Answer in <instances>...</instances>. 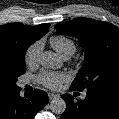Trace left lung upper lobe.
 <instances>
[{
  "label": "left lung upper lobe",
  "instance_id": "1",
  "mask_svg": "<svg viewBox=\"0 0 119 119\" xmlns=\"http://www.w3.org/2000/svg\"><path fill=\"white\" fill-rule=\"evenodd\" d=\"M55 29L57 34L78 38L84 46L85 62L71 87L119 93V29L89 18L59 23Z\"/></svg>",
  "mask_w": 119,
  "mask_h": 119
}]
</instances>
